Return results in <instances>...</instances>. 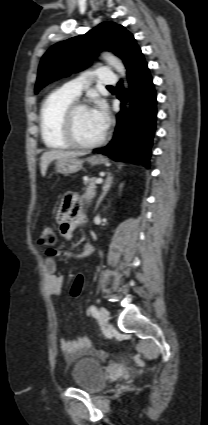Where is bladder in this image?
<instances>
[{
  "label": "bladder",
  "instance_id": "31cf9c89",
  "mask_svg": "<svg viewBox=\"0 0 208 425\" xmlns=\"http://www.w3.org/2000/svg\"><path fill=\"white\" fill-rule=\"evenodd\" d=\"M71 381L79 389L96 393L105 385L104 366L95 357H82L76 361L72 368Z\"/></svg>",
  "mask_w": 208,
  "mask_h": 425
}]
</instances>
